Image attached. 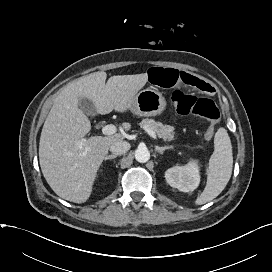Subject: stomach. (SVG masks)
Listing matches in <instances>:
<instances>
[{"mask_svg":"<svg viewBox=\"0 0 272 272\" xmlns=\"http://www.w3.org/2000/svg\"><path fill=\"white\" fill-rule=\"evenodd\" d=\"M166 104L159 91L148 88L136 94L130 110L139 116H156L165 110Z\"/></svg>","mask_w":272,"mask_h":272,"instance_id":"obj_1","label":"stomach"}]
</instances>
